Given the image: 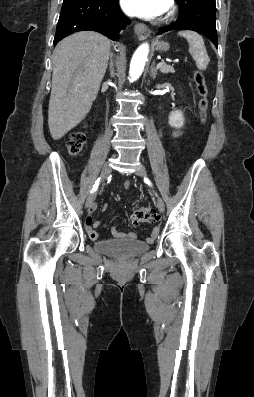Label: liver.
<instances>
[{
	"label": "liver",
	"mask_w": 254,
	"mask_h": 397,
	"mask_svg": "<svg viewBox=\"0 0 254 397\" xmlns=\"http://www.w3.org/2000/svg\"><path fill=\"white\" fill-rule=\"evenodd\" d=\"M111 41L96 32L81 31L60 41L53 52L48 125L61 139L91 109L105 75Z\"/></svg>",
	"instance_id": "6515ba94"
}]
</instances>
